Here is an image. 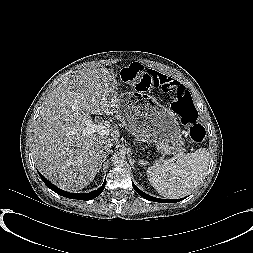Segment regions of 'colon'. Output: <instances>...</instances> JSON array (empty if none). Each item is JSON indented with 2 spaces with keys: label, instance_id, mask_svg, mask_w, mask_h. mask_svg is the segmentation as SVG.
<instances>
[{
  "label": "colon",
  "instance_id": "obj_1",
  "mask_svg": "<svg viewBox=\"0 0 253 253\" xmlns=\"http://www.w3.org/2000/svg\"><path fill=\"white\" fill-rule=\"evenodd\" d=\"M147 72L139 64L133 63L122 70V78L127 83L135 84L144 80ZM164 91L171 101L174 113L187 125V132L191 140L196 143L202 142L206 132L197 121V110L188 91L182 85H176Z\"/></svg>",
  "mask_w": 253,
  "mask_h": 253
}]
</instances>
